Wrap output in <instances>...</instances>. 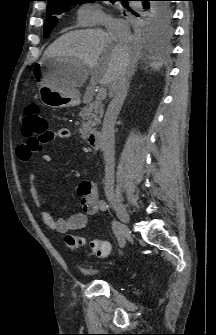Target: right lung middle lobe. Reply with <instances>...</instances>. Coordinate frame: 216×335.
Returning a JSON list of instances; mask_svg holds the SVG:
<instances>
[{
    "label": "right lung middle lobe",
    "instance_id": "obj_1",
    "mask_svg": "<svg viewBox=\"0 0 216 335\" xmlns=\"http://www.w3.org/2000/svg\"><path fill=\"white\" fill-rule=\"evenodd\" d=\"M93 1H104V0H69V1H61L49 4L47 6V15L48 18L44 24V38H47L50 34L53 27L58 23L57 15L63 13L71 6L77 3H85V2H93ZM111 3H115L116 0H107ZM129 10L134 14V19L137 21L138 25L146 32L150 33H158L168 35L171 32L170 20H168V16H172L170 10V3L168 2H159L155 5V9L153 14L148 17H142L139 14L138 8L136 11H133L131 8L126 6ZM168 17V18H167ZM164 18V19H163ZM171 18V17H170Z\"/></svg>",
    "mask_w": 216,
    "mask_h": 335
}]
</instances>
